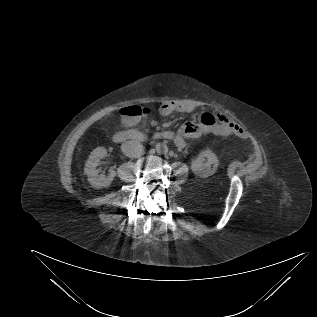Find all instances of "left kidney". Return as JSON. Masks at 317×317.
<instances>
[{
	"mask_svg": "<svg viewBox=\"0 0 317 317\" xmlns=\"http://www.w3.org/2000/svg\"><path fill=\"white\" fill-rule=\"evenodd\" d=\"M218 163L216 154L207 149L200 152L198 157L191 161V170L196 175L207 178L216 172Z\"/></svg>",
	"mask_w": 317,
	"mask_h": 317,
	"instance_id": "obj_1",
	"label": "left kidney"
}]
</instances>
